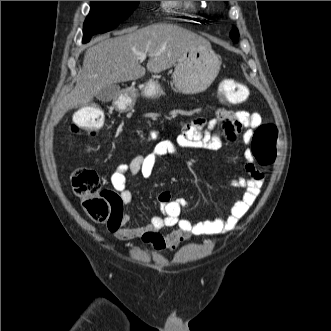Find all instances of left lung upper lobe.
I'll list each match as a JSON object with an SVG mask.
<instances>
[{
    "instance_id": "left-lung-upper-lobe-1",
    "label": "left lung upper lobe",
    "mask_w": 331,
    "mask_h": 331,
    "mask_svg": "<svg viewBox=\"0 0 331 331\" xmlns=\"http://www.w3.org/2000/svg\"><path fill=\"white\" fill-rule=\"evenodd\" d=\"M230 37L232 38V40L234 42H237L238 41L239 32H238V29L236 27H234V26H233L232 31L230 32Z\"/></svg>"
}]
</instances>
